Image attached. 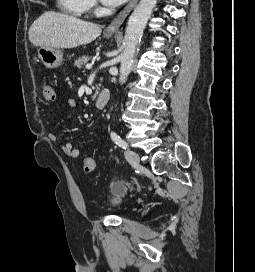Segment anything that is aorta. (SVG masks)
<instances>
[{
  "instance_id": "1",
  "label": "aorta",
  "mask_w": 255,
  "mask_h": 272,
  "mask_svg": "<svg viewBox=\"0 0 255 272\" xmlns=\"http://www.w3.org/2000/svg\"><path fill=\"white\" fill-rule=\"evenodd\" d=\"M157 0H141L129 17L124 36V49L120 55L119 82L124 84L131 71L136 49Z\"/></svg>"
}]
</instances>
